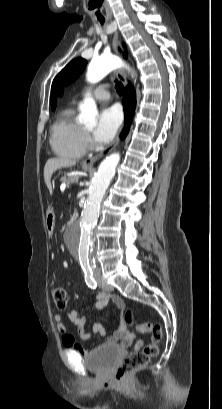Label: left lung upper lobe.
<instances>
[{
    "mask_svg": "<svg viewBox=\"0 0 222 409\" xmlns=\"http://www.w3.org/2000/svg\"><path fill=\"white\" fill-rule=\"evenodd\" d=\"M87 61L82 58H76L68 63L64 69L55 77L51 89V107L56 106V94L62 85H67L74 81L77 76L85 69Z\"/></svg>",
    "mask_w": 222,
    "mask_h": 409,
    "instance_id": "obj_1",
    "label": "left lung upper lobe"
}]
</instances>
